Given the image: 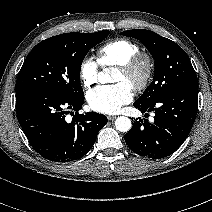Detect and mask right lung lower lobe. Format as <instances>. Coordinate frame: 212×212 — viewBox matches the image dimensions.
I'll use <instances>...</instances> for the list:
<instances>
[{"instance_id": "1", "label": "right lung lower lobe", "mask_w": 212, "mask_h": 212, "mask_svg": "<svg viewBox=\"0 0 212 212\" xmlns=\"http://www.w3.org/2000/svg\"><path fill=\"white\" fill-rule=\"evenodd\" d=\"M83 100L84 96L70 99L46 89L16 92L18 121L31 146L42 157L68 162L90 151L107 118L96 112L79 114ZM67 109L76 111L71 122L65 120Z\"/></svg>"}]
</instances>
